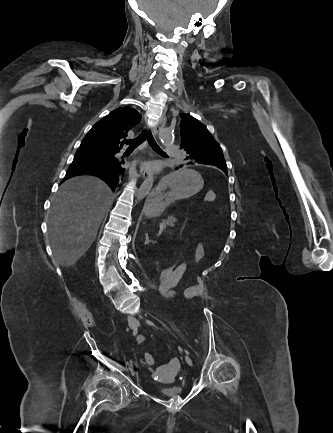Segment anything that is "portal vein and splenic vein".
I'll use <instances>...</instances> for the list:
<instances>
[{
  "mask_svg": "<svg viewBox=\"0 0 333 433\" xmlns=\"http://www.w3.org/2000/svg\"><path fill=\"white\" fill-rule=\"evenodd\" d=\"M164 229H165V226H164V225H161V226H160V230H159V232H162Z\"/></svg>",
  "mask_w": 333,
  "mask_h": 433,
  "instance_id": "1",
  "label": "portal vein and splenic vein"
}]
</instances>
